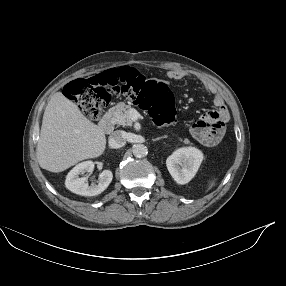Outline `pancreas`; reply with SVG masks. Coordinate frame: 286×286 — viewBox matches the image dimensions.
<instances>
[{"label":"pancreas","instance_id":"obj_1","mask_svg":"<svg viewBox=\"0 0 286 286\" xmlns=\"http://www.w3.org/2000/svg\"><path fill=\"white\" fill-rule=\"evenodd\" d=\"M132 107L125 104L124 102H119L112 109L113 120L116 124L122 126H132L133 118L130 114ZM185 143H189L188 140H184Z\"/></svg>","mask_w":286,"mask_h":286}]
</instances>
